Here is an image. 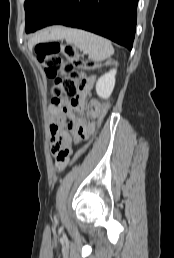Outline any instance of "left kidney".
I'll use <instances>...</instances> for the list:
<instances>
[{"label":"left kidney","instance_id":"5707ae66","mask_svg":"<svg viewBox=\"0 0 174 258\" xmlns=\"http://www.w3.org/2000/svg\"><path fill=\"white\" fill-rule=\"evenodd\" d=\"M116 69L110 70L102 75L96 83V92L100 98L107 99L113 92L115 86Z\"/></svg>","mask_w":174,"mask_h":258}]
</instances>
